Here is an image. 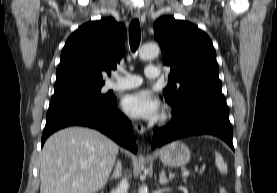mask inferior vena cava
Wrapping results in <instances>:
<instances>
[{"label": "inferior vena cava", "instance_id": "obj_1", "mask_svg": "<svg viewBox=\"0 0 277 193\" xmlns=\"http://www.w3.org/2000/svg\"><path fill=\"white\" fill-rule=\"evenodd\" d=\"M129 188V184L126 178L122 179L120 184L118 185L116 189V193H127V190Z\"/></svg>", "mask_w": 277, "mask_h": 193}]
</instances>
